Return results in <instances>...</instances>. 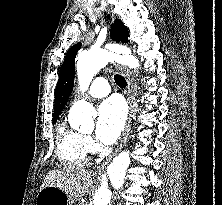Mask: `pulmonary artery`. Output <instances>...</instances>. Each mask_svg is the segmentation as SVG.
<instances>
[{
	"label": "pulmonary artery",
	"mask_w": 222,
	"mask_h": 205,
	"mask_svg": "<svg viewBox=\"0 0 222 205\" xmlns=\"http://www.w3.org/2000/svg\"><path fill=\"white\" fill-rule=\"evenodd\" d=\"M111 89L108 81L105 78L98 77L93 80L86 94L91 97H104L110 93Z\"/></svg>",
	"instance_id": "obj_1"
}]
</instances>
